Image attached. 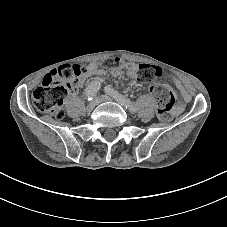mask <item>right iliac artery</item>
Returning <instances> with one entry per match:
<instances>
[{
    "label": "right iliac artery",
    "instance_id": "obj_1",
    "mask_svg": "<svg viewBox=\"0 0 227 227\" xmlns=\"http://www.w3.org/2000/svg\"><path fill=\"white\" fill-rule=\"evenodd\" d=\"M99 89H100V83L99 82H96V81L95 82H92L85 89V96H86V98L89 101L92 100L96 96V94H97V92H98Z\"/></svg>",
    "mask_w": 227,
    "mask_h": 227
}]
</instances>
